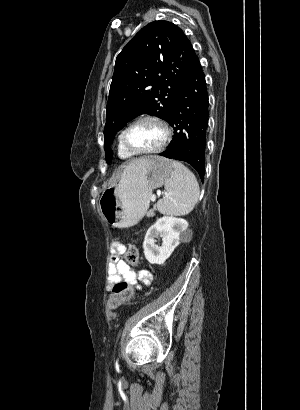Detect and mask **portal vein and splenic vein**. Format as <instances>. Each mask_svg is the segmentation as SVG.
<instances>
[{
  "mask_svg": "<svg viewBox=\"0 0 300 410\" xmlns=\"http://www.w3.org/2000/svg\"><path fill=\"white\" fill-rule=\"evenodd\" d=\"M150 199H151L152 201H155V200H156V195H155V194H152V195L150 196Z\"/></svg>",
  "mask_w": 300,
  "mask_h": 410,
  "instance_id": "18ae733b",
  "label": "portal vein and splenic vein"
}]
</instances>
